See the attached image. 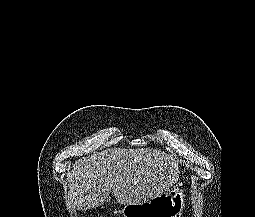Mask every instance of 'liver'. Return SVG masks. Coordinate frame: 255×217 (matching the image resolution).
<instances>
[{
  "label": "liver",
  "instance_id": "obj_1",
  "mask_svg": "<svg viewBox=\"0 0 255 217\" xmlns=\"http://www.w3.org/2000/svg\"><path fill=\"white\" fill-rule=\"evenodd\" d=\"M179 174V161L160 150L110 148L74 164L68 173L67 206L97 208L111 190L119 204L144 203L169 190Z\"/></svg>",
  "mask_w": 255,
  "mask_h": 217
}]
</instances>
